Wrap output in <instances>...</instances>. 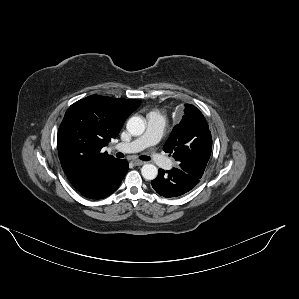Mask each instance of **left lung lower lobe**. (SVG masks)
Here are the masks:
<instances>
[{"mask_svg": "<svg viewBox=\"0 0 299 299\" xmlns=\"http://www.w3.org/2000/svg\"><path fill=\"white\" fill-rule=\"evenodd\" d=\"M199 180L180 168H172L169 171L159 169L157 178L151 183L159 195L170 198L183 195L190 191L199 183Z\"/></svg>", "mask_w": 299, "mask_h": 299, "instance_id": "1", "label": "left lung lower lobe"}]
</instances>
